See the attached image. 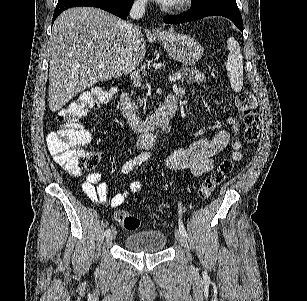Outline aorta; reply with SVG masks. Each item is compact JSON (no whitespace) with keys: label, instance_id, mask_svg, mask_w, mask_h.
<instances>
[{"label":"aorta","instance_id":"obj_1","mask_svg":"<svg viewBox=\"0 0 307 301\" xmlns=\"http://www.w3.org/2000/svg\"><path fill=\"white\" fill-rule=\"evenodd\" d=\"M161 128L164 132H170L171 126H169V124H162Z\"/></svg>","mask_w":307,"mask_h":301}]
</instances>
